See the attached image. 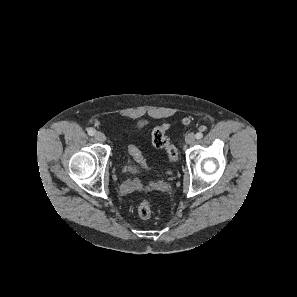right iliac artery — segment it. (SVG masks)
I'll use <instances>...</instances> for the list:
<instances>
[{"label": "right iliac artery", "mask_w": 297, "mask_h": 297, "mask_svg": "<svg viewBox=\"0 0 297 297\" xmlns=\"http://www.w3.org/2000/svg\"><path fill=\"white\" fill-rule=\"evenodd\" d=\"M88 134L90 136H93L95 134V131L92 128H90V129H88Z\"/></svg>", "instance_id": "1"}]
</instances>
